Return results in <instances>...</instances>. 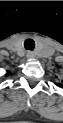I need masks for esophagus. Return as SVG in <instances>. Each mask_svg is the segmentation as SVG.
<instances>
[{"label":"esophagus","instance_id":"34e87169","mask_svg":"<svg viewBox=\"0 0 63 123\" xmlns=\"http://www.w3.org/2000/svg\"><path fill=\"white\" fill-rule=\"evenodd\" d=\"M27 57H28V58H33V57H35L34 52L28 51V52H27Z\"/></svg>","mask_w":63,"mask_h":123}]
</instances>
